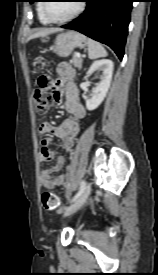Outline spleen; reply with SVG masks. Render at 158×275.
I'll list each match as a JSON object with an SVG mask.
<instances>
[{
	"instance_id": "1",
	"label": "spleen",
	"mask_w": 158,
	"mask_h": 275,
	"mask_svg": "<svg viewBox=\"0 0 158 275\" xmlns=\"http://www.w3.org/2000/svg\"><path fill=\"white\" fill-rule=\"evenodd\" d=\"M87 46H88V56H89L90 59H97V58H100V57L107 56V51L97 41H94V40L88 38L87 39Z\"/></svg>"
}]
</instances>
